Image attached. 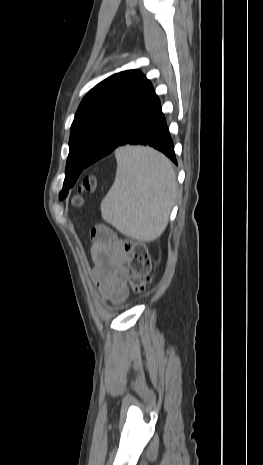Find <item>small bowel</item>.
<instances>
[{
  "label": "small bowel",
  "instance_id": "small-bowel-1",
  "mask_svg": "<svg viewBox=\"0 0 263 465\" xmlns=\"http://www.w3.org/2000/svg\"><path fill=\"white\" fill-rule=\"evenodd\" d=\"M91 237V253L96 265L95 281L105 298L121 303L128 296L129 271L125 265L127 256L121 252L107 229L96 227L92 230Z\"/></svg>",
  "mask_w": 263,
  "mask_h": 465
}]
</instances>
